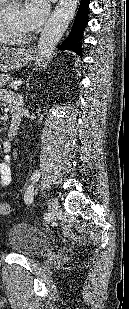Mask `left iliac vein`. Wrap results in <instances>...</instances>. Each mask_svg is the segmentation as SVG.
I'll use <instances>...</instances> for the list:
<instances>
[{"label": "left iliac vein", "mask_w": 129, "mask_h": 309, "mask_svg": "<svg viewBox=\"0 0 129 309\" xmlns=\"http://www.w3.org/2000/svg\"><path fill=\"white\" fill-rule=\"evenodd\" d=\"M51 204H52L51 215H52V218H55L56 216L59 215V210H58V207H57V204H56V200L52 199Z\"/></svg>", "instance_id": "obj_1"}]
</instances>
